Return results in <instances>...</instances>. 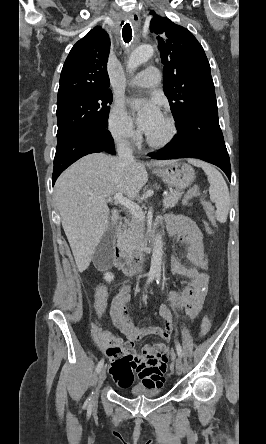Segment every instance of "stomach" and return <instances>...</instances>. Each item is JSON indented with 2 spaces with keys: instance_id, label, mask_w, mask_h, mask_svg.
<instances>
[{
  "instance_id": "obj_1",
  "label": "stomach",
  "mask_w": 266,
  "mask_h": 444,
  "mask_svg": "<svg viewBox=\"0 0 266 444\" xmlns=\"http://www.w3.org/2000/svg\"><path fill=\"white\" fill-rule=\"evenodd\" d=\"M154 173L166 184L179 190L189 187L195 177L194 169L190 165L179 161L154 169Z\"/></svg>"
}]
</instances>
